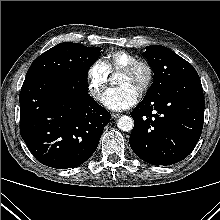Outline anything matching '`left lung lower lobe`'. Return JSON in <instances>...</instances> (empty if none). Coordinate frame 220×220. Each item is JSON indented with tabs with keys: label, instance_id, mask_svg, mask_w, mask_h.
I'll return each instance as SVG.
<instances>
[{
	"label": "left lung lower lobe",
	"instance_id": "obj_1",
	"mask_svg": "<svg viewBox=\"0 0 220 220\" xmlns=\"http://www.w3.org/2000/svg\"><path fill=\"white\" fill-rule=\"evenodd\" d=\"M134 128L129 143L153 165H171L187 157L203 128L204 96L200 78L178 79L163 92L143 99L130 113Z\"/></svg>",
	"mask_w": 220,
	"mask_h": 220
}]
</instances>
